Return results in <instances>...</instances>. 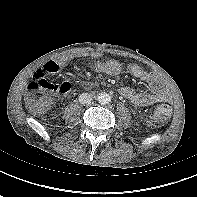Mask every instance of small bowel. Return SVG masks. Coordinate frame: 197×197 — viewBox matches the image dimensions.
<instances>
[{
	"label": "small bowel",
	"mask_w": 197,
	"mask_h": 197,
	"mask_svg": "<svg viewBox=\"0 0 197 197\" xmlns=\"http://www.w3.org/2000/svg\"><path fill=\"white\" fill-rule=\"evenodd\" d=\"M93 58H99L100 52H94L91 55ZM67 66L66 60L49 61L34 73L35 78L45 77L60 72ZM131 75L145 82L149 90L146 92H138L132 87H121L119 93L133 104L137 106H148L156 102L171 101L172 95L167 81L160 75L149 72L142 67L132 64L128 67ZM95 71L106 75H117L121 72V64L119 61L110 59L107 61H98L95 64Z\"/></svg>",
	"instance_id": "1"
}]
</instances>
